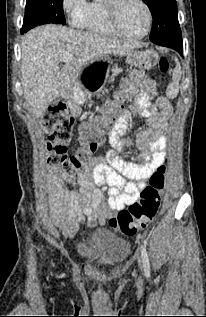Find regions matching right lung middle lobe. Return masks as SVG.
Segmentation results:
<instances>
[{
  "instance_id": "1",
  "label": "right lung middle lobe",
  "mask_w": 206,
  "mask_h": 317,
  "mask_svg": "<svg viewBox=\"0 0 206 317\" xmlns=\"http://www.w3.org/2000/svg\"><path fill=\"white\" fill-rule=\"evenodd\" d=\"M63 0H27L22 34L42 24H65Z\"/></svg>"
}]
</instances>
